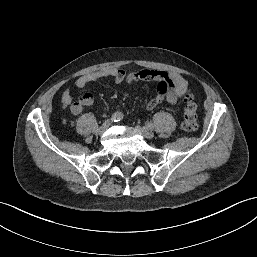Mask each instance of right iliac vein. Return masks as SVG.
Segmentation results:
<instances>
[{
  "instance_id": "63e3f726",
  "label": "right iliac vein",
  "mask_w": 257,
  "mask_h": 257,
  "mask_svg": "<svg viewBox=\"0 0 257 257\" xmlns=\"http://www.w3.org/2000/svg\"><path fill=\"white\" fill-rule=\"evenodd\" d=\"M110 126V122L106 121L97 131L99 135H103Z\"/></svg>"
}]
</instances>
